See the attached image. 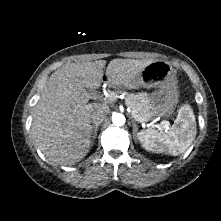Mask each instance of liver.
<instances>
[{
    "instance_id": "liver-1",
    "label": "liver",
    "mask_w": 221,
    "mask_h": 221,
    "mask_svg": "<svg viewBox=\"0 0 221 221\" xmlns=\"http://www.w3.org/2000/svg\"><path fill=\"white\" fill-rule=\"evenodd\" d=\"M151 62L113 59L106 69L107 80L114 86L133 89L137 76ZM105 65V60L71 63L48 79L34 107L31 135L49 161L74 165L89 152L91 113L101 104H87V89L101 86Z\"/></svg>"
}]
</instances>
